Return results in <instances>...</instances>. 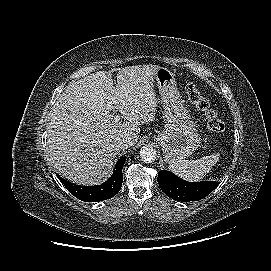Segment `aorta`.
Wrapping results in <instances>:
<instances>
[{
  "instance_id": "1",
  "label": "aorta",
  "mask_w": 271,
  "mask_h": 271,
  "mask_svg": "<svg viewBox=\"0 0 271 271\" xmlns=\"http://www.w3.org/2000/svg\"><path fill=\"white\" fill-rule=\"evenodd\" d=\"M156 151L153 147L145 145L140 150V157L145 163H152L156 160Z\"/></svg>"
}]
</instances>
